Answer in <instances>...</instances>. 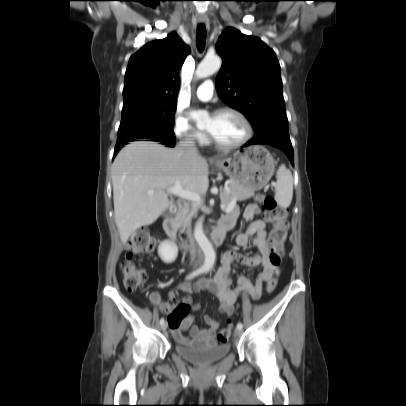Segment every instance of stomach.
Masks as SVG:
<instances>
[{
  "instance_id": "stomach-1",
  "label": "stomach",
  "mask_w": 406,
  "mask_h": 406,
  "mask_svg": "<svg viewBox=\"0 0 406 406\" xmlns=\"http://www.w3.org/2000/svg\"><path fill=\"white\" fill-rule=\"evenodd\" d=\"M217 166L236 184L252 190H261L271 179L275 161L263 146L254 145L235 152L217 163Z\"/></svg>"
}]
</instances>
